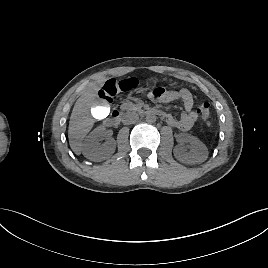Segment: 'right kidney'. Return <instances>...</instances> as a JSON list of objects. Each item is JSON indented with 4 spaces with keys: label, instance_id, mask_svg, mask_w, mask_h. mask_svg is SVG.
Segmentation results:
<instances>
[{
    "label": "right kidney",
    "instance_id": "ca27d5eb",
    "mask_svg": "<svg viewBox=\"0 0 268 268\" xmlns=\"http://www.w3.org/2000/svg\"><path fill=\"white\" fill-rule=\"evenodd\" d=\"M104 133L105 128L100 126L95 128L86 137L82 145V153L87 159L100 162L115 152L116 142L113 138L108 137L103 144L99 143L100 139L103 138Z\"/></svg>",
    "mask_w": 268,
    "mask_h": 268
}]
</instances>
